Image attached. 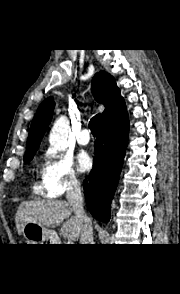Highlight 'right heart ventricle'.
Instances as JSON below:
<instances>
[{
  "label": "right heart ventricle",
  "instance_id": "e07e8e85",
  "mask_svg": "<svg viewBox=\"0 0 180 294\" xmlns=\"http://www.w3.org/2000/svg\"><path fill=\"white\" fill-rule=\"evenodd\" d=\"M34 194H40L42 192V186L40 182H34L32 187Z\"/></svg>",
  "mask_w": 180,
  "mask_h": 294
}]
</instances>
